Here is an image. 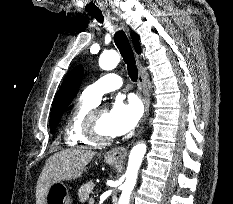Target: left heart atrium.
<instances>
[{
    "instance_id": "1",
    "label": "left heart atrium",
    "mask_w": 233,
    "mask_h": 204,
    "mask_svg": "<svg viewBox=\"0 0 233 204\" xmlns=\"http://www.w3.org/2000/svg\"><path fill=\"white\" fill-rule=\"evenodd\" d=\"M141 115L142 107L137 99H118L109 111L112 134L121 136L130 132L138 124Z\"/></svg>"
}]
</instances>
